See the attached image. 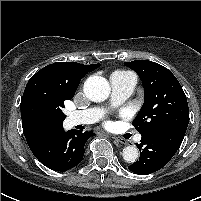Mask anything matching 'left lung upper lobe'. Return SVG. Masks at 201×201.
<instances>
[{"mask_svg":"<svg viewBox=\"0 0 201 201\" xmlns=\"http://www.w3.org/2000/svg\"><path fill=\"white\" fill-rule=\"evenodd\" d=\"M124 65L140 76L144 86V104L132 123L139 133L144 135L167 128L186 130L189 123L187 99L172 72L147 60Z\"/></svg>","mask_w":201,"mask_h":201,"instance_id":"5c2ea615","label":"left lung upper lobe"}]
</instances>
